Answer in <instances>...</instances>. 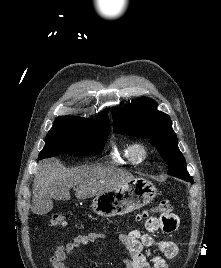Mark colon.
<instances>
[{"mask_svg":"<svg viewBox=\"0 0 221 268\" xmlns=\"http://www.w3.org/2000/svg\"><path fill=\"white\" fill-rule=\"evenodd\" d=\"M172 209L173 207L169 200H162L158 205H156L152 209L144 210L141 213H139L136 216V221H141L147 218L150 212H157L160 215L167 216V215L172 214ZM49 224L52 227H65L67 225V220L63 214L57 213L53 215Z\"/></svg>","mask_w":221,"mask_h":268,"instance_id":"obj_1","label":"colon"}]
</instances>
